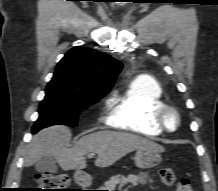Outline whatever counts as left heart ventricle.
Instances as JSON below:
<instances>
[{
	"label": "left heart ventricle",
	"instance_id": "obj_1",
	"mask_svg": "<svg viewBox=\"0 0 218 191\" xmlns=\"http://www.w3.org/2000/svg\"><path fill=\"white\" fill-rule=\"evenodd\" d=\"M167 124L170 128H173L176 125V117L173 113L167 115Z\"/></svg>",
	"mask_w": 218,
	"mask_h": 191
}]
</instances>
